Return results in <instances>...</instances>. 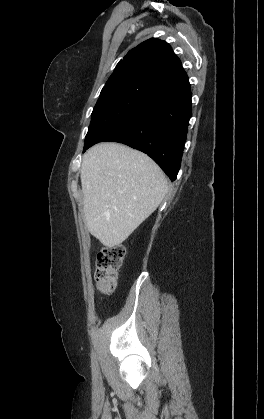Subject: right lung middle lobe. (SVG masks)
Masks as SVG:
<instances>
[{
	"mask_svg": "<svg viewBox=\"0 0 264 419\" xmlns=\"http://www.w3.org/2000/svg\"><path fill=\"white\" fill-rule=\"evenodd\" d=\"M152 97L151 93L129 85L103 88L92 112L83 152L118 129L134 114L142 102Z\"/></svg>",
	"mask_w": 264,
	"mask_h": 419,
	"instance_id": "dd1d6c3e",
	"label": "right lung middle lobe"
}]
</instances>
